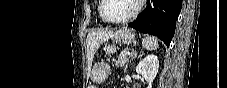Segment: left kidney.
<instances>
[{
    "label": "left kidney",
    "mask_w": 227,
    "mask_h": 88,
    "mask_svg": "<svg viewBox=\"0 0 227 88\" xmlns=\"http://www.w3.org/2000/svg\"><path fill=\"white\" fill-rule=\"evenodd\" d=\"M159 69V61L156 55H147L136 66V72L147 81L148 88L152 87V83L156 78Z\"/></svg>",
    "instance_id": "obj_1"
}]
</instances>
